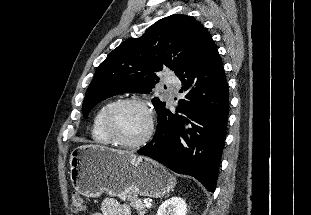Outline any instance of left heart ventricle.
<instances>
[{
    "instance_id": "obj_1",
    "label": "left heart ventricle",
    "mask_w": 311,
    "mask_h": 215,
    "mask_svg": "<svg viewBox=\"0 0 311 215\" xmlns=\"http://www.w3.org/2000/svg\"><path fill=\"white\" fill-rule=\"evenodd\" d=\"M114 126L123 140L135 142L140 140L147 131L148 115L142 107L128 105L118 111Z\"/></svg>"
}]
</instances>
